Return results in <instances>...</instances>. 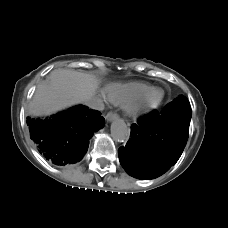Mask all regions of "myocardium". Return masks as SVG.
<instances>
[{
    "mask_svg": "<svg viewBox=\"0 0 228 228\" xmlns=\"http://www.w3.org/2000/svg\"><path fill=\"white\" fill-rule=\"evenodd\" d=\"M153 92H159V98L154 103H146V97ZM163 98L164 91L161 88L150 87L148 90L137 96L134 100L126 104L125 110L127 114L132 117H140L156 109L163 101Z\"/></svg>",
    "mask_w": 228,
    "mask_h": 228,
    "instance_id": "myocardium-1",
    "label": "myocardium"
}]
</instances>
